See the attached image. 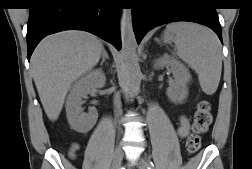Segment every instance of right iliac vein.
I'll return each instance as SVG.
<instances>
[{
  "label": "right iliac vein",
  "instance_id": "1",
  "mask_svg": "<svg viewBox=\"0 0 252 169\" xmlns=\"http://www.w3.org/2000/svg\"><path fill=\"white\" fill-rule=\"evenodd\" d=\"M122 159H123V150L120 146H118L114 152L113 164L111 169H119Z\"/></svg>",
  "mask_w": 252,
  "mask_h": 169
}]
</instances>
